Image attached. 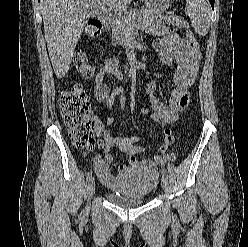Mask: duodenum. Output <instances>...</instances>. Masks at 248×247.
<instances>
[{
	"instance_id": "410a0bca",
	"label": "duodenum",
	"mask_w": 248,
	"mask_h": 247,
	"mask_svg": "<svg viewBox=\"0 0 248 247\" xmlns=\"http://www.w3.org/2000/svg\"><path fill=\"white\" fill-rule=\"evenodd\" d=\"M97 24L98 26L102 29V28H105L107 26V22L105 20V18H99L97 20Z\"/></svg>"
}]
</instances>
